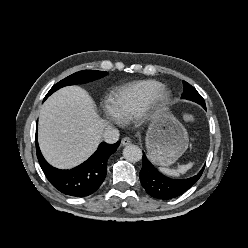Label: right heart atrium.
I'll list each match as a JSON object with an SVG mask.
<instances>
[{"mask_svg": "<svg viewBox=\"0 0 248 248\" xmlns=\"http://www.w3.org/2000/svg\"><path fill=\"white\" fill-rule=\"evenodd\" d=\"M102 111H103V114L106 118L113 120V121L116 120V117L114 116L110 102L105 101L102 104Z\"/></svg>", "mask_w": 248, "mask_h": 248, "instance_id": "obj_1", "label": "right heart atrium"}]
</instances>
